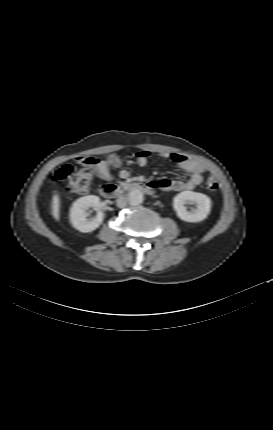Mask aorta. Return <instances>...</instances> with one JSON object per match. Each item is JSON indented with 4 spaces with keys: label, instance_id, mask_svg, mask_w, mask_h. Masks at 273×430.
<instances>
[{
    "label": "aorta",
    "instance_id": "762f6f07",
    "mask_svg": "<svg viewBox=\"0 0 273 430\" xmlns=\"http://www.w3.org/2000/svg\"><path fill=\"white\" fill-rule=\"evenodd\" d=\"M128 202L132 206L140 205L143 202V193L138 190H132L128 194Z\"/></svg>",
    "mask_w": 273,
    "mask_h": 430
}]
</instances>
